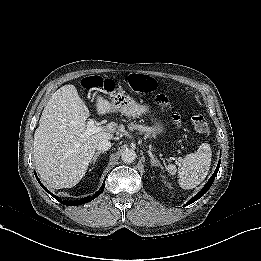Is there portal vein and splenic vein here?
<instances>
[{
    "label": "portal vein and splenic vein",
    "instance_id": "obj_1",
    "mask_svg": "<svg viewBox=\"0 0 261 261\" xmlns=\"http://www.w3.org/2000/svg\"><path fill=\"white\" fill-rule=\"evenodd\" d=\"M101 130H102V128L96 126L94 120L91 119V120L87 123V128H86V131H85V135H86V136L92 135V134H95V133L100 132Z\"/></svg>",
    "mask_w": 261,
    "mask_h": 261
}]
</instances>
